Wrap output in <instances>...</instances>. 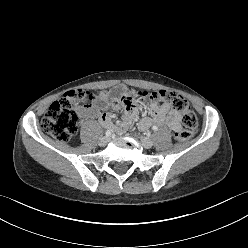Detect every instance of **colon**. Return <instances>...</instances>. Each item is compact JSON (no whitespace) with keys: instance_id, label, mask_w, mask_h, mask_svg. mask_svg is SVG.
<instances>
[{"instance_id":"obj_1","label":"colon","mask_w":248,"mask_h":248,"mask_svg":"<svg viewBox=\"0 0 248 248\" xmlns=\"http://www.w3.org/2000/svg\"><path fill=\"white\" fill-rule=\"evenodd\" d=\"M106 95L87 90L75 89L66 92L58 101L51 104L42 119L43 129L61 142H68L77 133L79 111ZM134 99L145 103H166L182 114L183 128L175 132L178 141L189 139L197 130L198 118L184 97L173 91L138 92Z\"/></svg>"}]
</instances>
